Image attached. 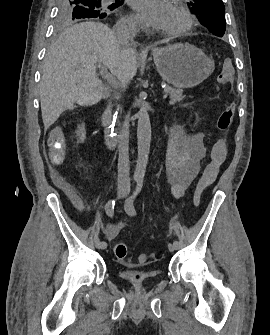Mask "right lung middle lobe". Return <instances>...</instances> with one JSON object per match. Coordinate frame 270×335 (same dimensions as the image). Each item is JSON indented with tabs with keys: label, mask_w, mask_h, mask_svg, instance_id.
I'll return each instance as SVG.
<instances>
[{
	"label": "right lung middle lobe",
	"mask_w": 270,
	"mask_h": 335,
	"mask_svg": "<svg viewBox=\"0 0 270 335\" xmlns=\"http://www.w3.org/2000/svg\"><path fill=\"white\" fill-rule=\"evenodd\" d=\"M123 0H115L113 3L101 4V0H59L57 24L60 26L79 23L83 19L109 17V10L121 6Z\"/></svg>",
	"instance_id": "right-lung-middle-lobe-1"
}]
</instances>
